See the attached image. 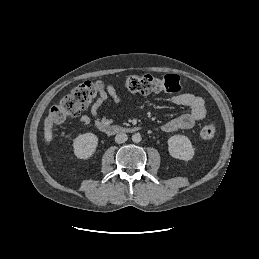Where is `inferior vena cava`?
Returning a JSON list of instances; mask_svg holds the SVG:
<instances>
[{
    "mask_svg": "<svg viewBox=\"0 0 259 259\" xmlns=\"http://www.w3.org/2000/svg\"><path fill=\"white\" fill-rule=\"evenodd\" d=\"M127 139H128V136H127V134H125V133H118V134L115 136V142L118 143V144H121V143L126 142Z\"/></svg>",
    "mask_w": 259,
    "mask_h": 259,
    "instance_id": "1",
    "label": "inferior vena cava"
}]
</instances>
